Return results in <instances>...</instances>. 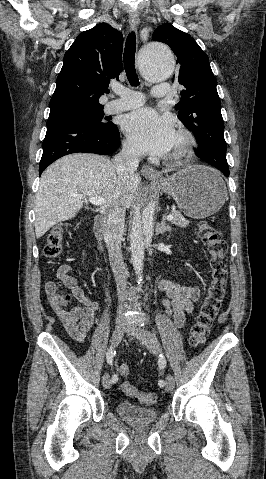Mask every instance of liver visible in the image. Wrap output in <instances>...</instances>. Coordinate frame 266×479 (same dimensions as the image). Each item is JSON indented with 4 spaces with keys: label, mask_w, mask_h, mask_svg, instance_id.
Segmentation results:
<instances>
[{
    "label": "liver",
    "mask_w": 266,
    "mask_h": 479,
    "mask_svg": "<svg viewBox=\"0 0 266 479\" xmlns=\"http://www.w3.org/2000/svg\"><path fill=\"white\" fill-rule=\"evenodd\" d=\"M137 175L121 177L114 163L101 155L77 153L50 165L42 174L35 199V233L42 237L54 225L74 218L86 197H103L100 211L114 203L129 208L138 195ZM73 194L82 195V198Z\"/></svg>",
    "instance_id": "1"
}]
</instances>
